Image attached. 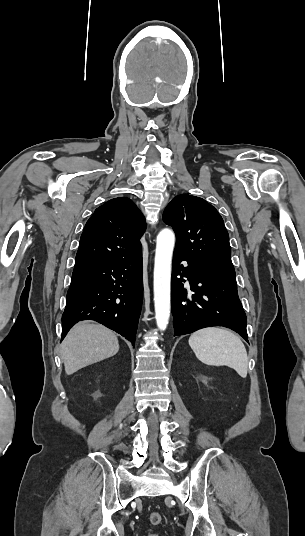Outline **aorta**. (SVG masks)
<instances>
[{"label": "aorta", "mask_w": 305, "mask_h": 536, "mask_svg": "<svg viewBox=\"0 0 305 536\" xmlns=\"http://www.w3.org/2000/svg\"><path fill=\"white\" fill-rule=\"evenodd\" d=\"M175 234L163 229L157 236L154 263L155 318L160 330H165L170 318L171 264Z\"/></svg>", "instance_id": "762f6f07"}]
</instances>
